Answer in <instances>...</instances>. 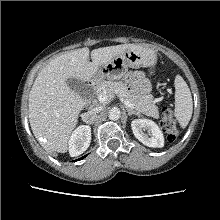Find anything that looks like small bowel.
<instances>
[{
  "label": "small bowel",
  "mask_w": 220,
  "mask_h": 220,
  "mask_svg": "<svg viewBox=\"0 0 220 220\" xmlns=\"http://www.w3.org/2000/svg\"><path fill=\"white\" fill-rule=\"evenodd\" d=\"M130 82L135 88L142 94H145L149 90V83L146 78L139 72L134 73L130 77Z\"/></svg>",
  "instance_id": "obj_1"
}]
</instances>
